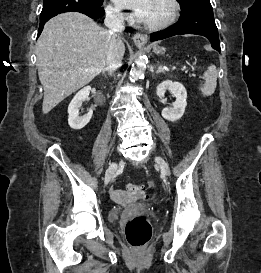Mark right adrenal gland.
Listing matches in <instances>:
<instances>
[{"label":"right adrenal gland","instance_id":"1","mask_svg":"<svg viewBox=\"0 0 261 273\" xmlns=\"http://www.w3.org/2000/svg\"><path fill=\"white\" fill-rule=\"evenodd\" d=\"M102 73H103V74H104V73H108L109 76H112V75H113V71L110 70V69H108V68H104L103 71H102Z\"/></svg>","mask_w":261,"mask_h":273}]
</instances>
